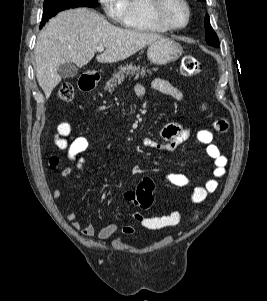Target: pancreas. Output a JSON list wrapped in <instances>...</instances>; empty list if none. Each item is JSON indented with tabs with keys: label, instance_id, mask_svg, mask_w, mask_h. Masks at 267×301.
<instances>
[{
	"label": "pancreas",
	"instance_id": "1",
	"mask_svg": "<svg viewBox=\"0 0 267 301\" xmlns=\"http://www.w3.org/2000/svg\"><path fill=\"white\" fill-rule=\"evenodd\" d=\"M147 73H151L150 70H146V67H140L136 66L134 64H126L124 66H120L118 68V71L113 74L111 79L108 81V83L105 86V90L108 92H113L114 88L117 87V85L121 84L124 79L128 76H135V79H138L139 77H145Z\"/></svg>",
	"mask_w": 267,
	"mask_h": 301
}]
</instances>
